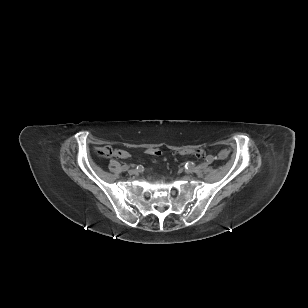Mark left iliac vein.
Returning a JSON list of instances; mask_svg holds the SVG:
<instances>
[{"instance_id": "left-iliac-vein-1", "label": "left iliac vein", "mask_w": 308, "mask_h": 308, "mask_svg": "<svg viewBox=\"0 0 308 308\" xmlns=\"http://www.w3.org/2000/svg\"><path fill=\"white\" fill-rule=\"evenodd\" d=\"M185 172H186L187 174H191V173L194 172V169H193V168H188V169H185Z\"/></svg>"}]
</instances>
